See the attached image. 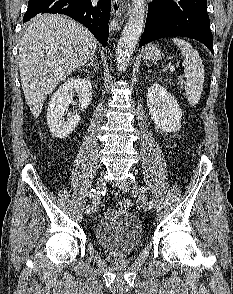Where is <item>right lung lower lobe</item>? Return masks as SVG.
<instances>
[{
	"mask_svg": "<svg viewBox=\"0 0 233 294\" xmlns=\"http://www.w3.org/2000/svg\"><path fill=\"white\" fill-rule=\"evenodd\" d=\"M110 0H29L23 21L30 20L40 13L64 14L86 26L104 46L107 45L110 18Z\"/></svg>",
	"mask_w": 233,
	"mask_h": 294,
	"instance_id": "1",
	"label": "right lung lower lobe"
}]
</instances>
